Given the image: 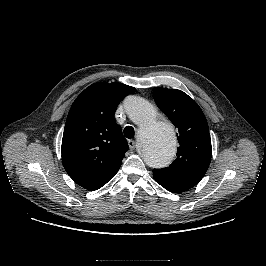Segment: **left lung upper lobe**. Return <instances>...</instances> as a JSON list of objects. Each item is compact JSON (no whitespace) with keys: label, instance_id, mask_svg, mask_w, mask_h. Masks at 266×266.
I'll return each instance as SVG.
<instances>
[{"label":"left lung upper lobe","instance_id":"obj_1","mask_svg":"<svg viewBox=\"0 0 266 266\" xmlns=\"http://www.w3.org/2000/svg\"><path fill=\"white\" fill-rule=\"evenodd\" d=\"M154 100L178 129L177 158L166 168L153 169L159 180L180 191L195 186L205 175L212 155L206 118L197 103L186 93L156 87Z\"/></svg>","mask_w":266,"mask_h":266}]
</instances>
